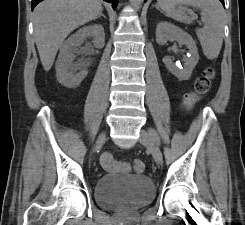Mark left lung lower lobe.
<instances>
[{"mask_svg":"<svg viewBox=\"0 0 245 225\" xmlns=\"http://www.w3.org/2000/svg\"><path fill=\"white\" fill-rule=\"evenodd\" d=\"M147 0H145V2H146ZM221 2H222V4L224 5V0H220Z\"/></svg>","mask_w":245,"mask_h":225,"instance_id":"left-lung-lower-lobe-1","label":"left lung lower lobe"}]
</instances>
